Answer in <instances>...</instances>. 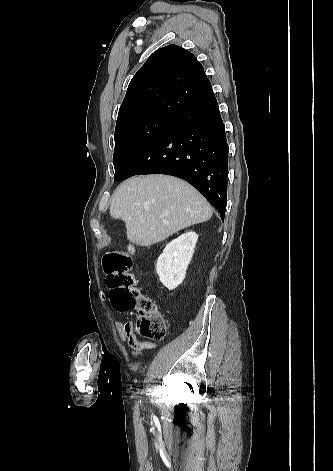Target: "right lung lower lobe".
Here are the masks:
<instances>
[{"label":"right lung lower lobe","instance_id":"98d812e1","mask_svg":"<svg viewBox=\"0 0 333 471\" xmlns=\"http://www.w3.org/2000/svg\"><path fill=\"white\" fill-rule=\"evenodd\" d=\"M160 173L188 181L220 212L227 204L228 145L213 90L185 107L123 175Z\"/></svg>","mask_w":333,"mask_h":471}]
</instances>
